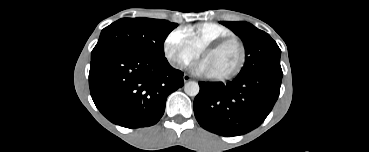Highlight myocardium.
Instances as JSON below:
<instances>
[{"mask_svg":"<svg viewBox=\"0 0 369 152\" xmlns=\"http://www.w3.org/2000/svg\"><path fill=\"white\" fill-rule=\"evenodd\" d=\"M228 43H235L239 47V50H240L239 62L237 64V66L231 72H229L227 74L220 75V76H208L213 81L225 82V81L232 80L233 78H235L236 76L239 75V73L242 71V69L244 68V65L246 63V59H247L246 47H245L244 43L239 38L234 37V36L223 37V38L214 40V41L206 44L199 51V57H202L207 52L217 50V49L223 47L224 45H226Z\"/></svg>","mask_w":369,"mask_h":152,"instance_id":"obj_1","label":"myocardium"}]
</instances>
